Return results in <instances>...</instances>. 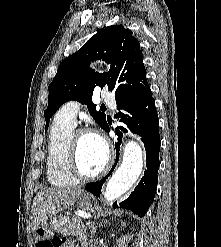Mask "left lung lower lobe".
Masks as SVG:
<instances>
[{"label": "left lung lower lobe", "instance_id": "1", "mask_svg": "<svg viewBox=\"0 0 221 247\" xmlns=\"http://www.w3.org/2000/svg\"><path fill=\"white\" fill-rule=\"evenodd\" d=\"M117 108L119 112L115 115V118L124 125L116 128L118 143L115 144L117 151L115 165L105 178L88 183L85 189L96 196L100 195L103 183L116 166L122 133H126L128 130L136 133L141 136L146 149L147 170H145L144 176L130 196L120 204L115 202L113 208L122 207L139 217H143L154 200L158 182L160 135L155 101L150 92L143 96L117 102ZM108 123L111 124V121L108 120L104 130L109 133Z\"/></svg>", "mask_w": 221, "mask_h": 247}]
</instances>
